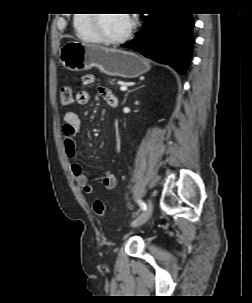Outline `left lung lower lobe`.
I'll list each match as a JSON object with an SVG mask.
<instances>
[{
  "instance_id": "1",
  "label": "left lung lower lobe",
  "mask_w": 252,
  "mask_h": 303,
  "mask_svg": "<svg viewBox=\"0 0 252 303\" xmlns=\"http://www.w3.org/2000/svg\"><path fill=\"white\" fill-rule=\"evenodd\" d=\"M144 22L140 33L121 46L184 74L192 56V14H156Z\"/></svg>"
}]
</instances>
